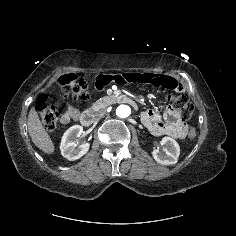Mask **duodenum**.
Returning <instances> with one entry per match:
<instances>
[{
	"label": "duodenum",
	"mask_w": 236,
	"mask_h": 236,
	"mask_svg": "<svg viewBox=\"0 0 236 236\" xmlns=\"http://www.w3.org/2000/svg\"><path fill=\"white\" fill-rule=\"evenodd\" d=\"M115 100L117 102H120V103H125V104H129V105H132V106H135L136 103L135 101L127 96V95H117L115 97ZM79 120H80V123L83 125V126H91L94 122V113L93 112H90V111H87V112H83L80 116H79Z\"/></svg>",
	"instance_id": "410a0bca"
}]
</instances>
